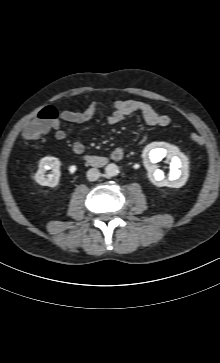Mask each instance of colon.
<instances>
[{
    "instance_id": "colon-1",
    "label": "colon",
    "mask_w": 220,
    "mask_h": 363,
    "mask_svg": "<svg viewBox=\"0 0 220 363\" xmlns=\"http://www.w3.org/2000/svg\"><path fill=\"white\" fill-rule=\"evenodd\" d=\"M58 117L59 113L56 107L52 105L43 107L32 120L24 125L22 129L23 137L26 139L39 138L52 127ZM190 139L196 145L203 144V138L199 134L192 133Z\"/></svg>"
}]
</instances>
